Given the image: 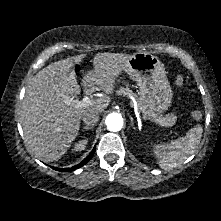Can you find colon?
I'll list each match as a JSON object with an SVG mask.
<instances>
[{
  "mask_svg": "<svg viewBox=\"0 0 221 221\" xmlns=\"http://www.w3.org/2000/svg\"><path fill=\"white\" fill-rule=\"evenodd\" d=\"M175 83H176V85L177 86H183L184 85V79H183V77L182 76H177L176 78H175ZM202 111H200V110H194L193 112H192V117L195 119V120H199V119H201L202 118Z\"/></svg>",
  "mask_w": 221,
  "mask_h": 221,
  "instance_id": "5ec220e1",
  "label": "colon"
}]
</instances>
